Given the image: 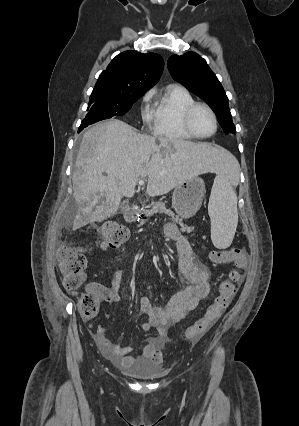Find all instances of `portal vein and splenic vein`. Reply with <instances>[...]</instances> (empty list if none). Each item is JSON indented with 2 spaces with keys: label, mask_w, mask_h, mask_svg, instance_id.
<instances>
[{
  "label": "portal vein and splenic vein",
  "mask_w": 299,
  "mask_h": 426,
  "mask_svg": "<svg viewBox=\"0 0 299 426\" xmlns=\"http://www.w3.org/2000/svg\"><path fill=\"white\" fill-rule=\"evenodd\" d=\"M138 184H139L140 186H143V185H144V180H139V181H138Z\"/></svg>",
  "instance_id": "18ae733b"
}]
</instances>
